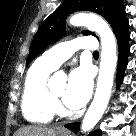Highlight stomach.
I'll list each match as a JSON object with an SVG mask.
<instances>
[{
  "instance_id": "0dacf381",
  "label": "stomach",
  "mask_w": 136,
  "mask_h": 136,
  "mask_svg": "<svg viewBox=\"0 0 136 136\" xmlns=\"http://www.w3.org/2000/svg\"><path fill=\"white\" fill-rule=\"evenodd\" d=\"M56 136H69L67 133H64L62 131H59Z\"/></svg>"
}]
</instances>
